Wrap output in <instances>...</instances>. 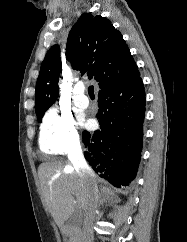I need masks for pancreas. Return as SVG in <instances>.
Masks as SVG:
<instances>
[{"label": "pancreas", "instance_id": "cf45deb5", "mask_svg": "<svg viewBox=\"0 0 187 242\" xmlns=\"http://www.w3.org/2000/svg\"><path fill=\"white\" fill-rule=\"evenodd\" d=\"M77 233H78L77 229H73V231H72L73 242H74V239H75V236L77 235Z\"/></svg>", "mask_w": 187, "mask_h": 242}]
</instances>
